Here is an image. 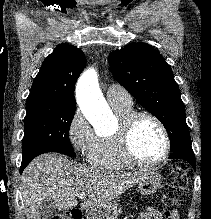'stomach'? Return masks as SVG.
<instances>
[{
	"instance_id": "obj_1",
	"label": "stomach",
	"mask_w": 211,
	"mask_h": 219,
	"mask_svg": "<svg viewBox=\"0 0 211 219\" xmlns=\"http://www.w3.org/2000/svg\"><path fill=\"white\" fill-rule=\"evenodd\" d=\"M161 184V179L159 174L155 172H149V174L138 183V191L142 195H151L157 191ZM117 208V203L112 201L105 206L89 210L88 214L90 216H95L97 219H101L102 217H105L109 215L111 212H113Z\"/></svg>"
}]
</instances>
